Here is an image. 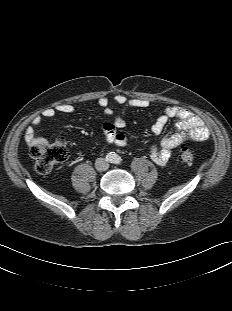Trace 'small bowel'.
<instances>
[{
    "label": "small bowel",
    "instance_id": "small-bowel-1",
    "mask_svg": "<svg viewBox=\"0 0 232 311\" xmlns=\"http://www.w3.org/2000/svg\"><path fill=\"white\" fill-rule=\"evenodd\" d=\"M114 102L121 108V111L114 115L112 123L103 124V131L108 143L124 147L128 143V138L125 134L118 132L117 129H122L126 126L125 114L127 110L130 108H145L149 102L141 98H128L122 94L116 95ZM98 105L104 110L106 115L114 114L108 107L109 99L107 97L103 96L99 98ZM75 111V106L62 103L55 107L44 109L42 116L51 119L58 113L70 114ZM172 118L177 119L176 132L165 136L159 146H153L150 150L151 160L159 166H166L170 160L172 150L184 142L188 140L204 141L209 137V129L204 121L192 111L179 106L166 107L163 113L152 124L151 132L154 135H159ZM41 123V116H36L32 120V125L26 128L24 140L29 147H33L38 143L48 142L47 139L36 135L35 128L39 127Z\"/></svg>",
    "mask_w": 232,
    "mask_h": 311
}]
</instances>
